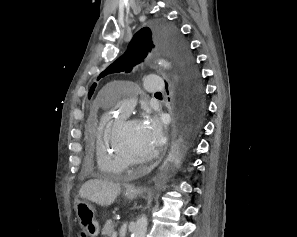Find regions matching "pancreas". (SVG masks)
<instances>
[{
  "label": "pancreas",
  "instance_id": "obj_1",
  "mask_svg": "<svg viewBox=\"0 0 297 237\" xmlns=\"http://www.w3.org/2000/svg\"><path fill=\"white\" fill-rule=\"evenodd\" d=\"M114 228H115V223L112 220H107V222L105 223L102 229V235L107 237H112Z\"/></svg>",
  "mask_w": 297,
  "mask_h": 237
}]
</instances>
